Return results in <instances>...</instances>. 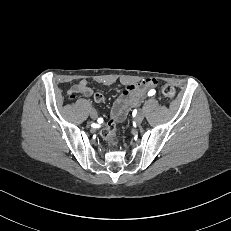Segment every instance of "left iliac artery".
I'll return each mask as SVG.
<instances>
[{
  "instance_id": "obj_1",
  "label": "left iliac artery",
  "mask_w": 231,
  "mask_h": 231,
  "mask_svg": "<svg viewBox=\"0 0 231 231\" xmlns=\"http://www.w3.org/2000/svg\"><path fill=\"white\" fill-rule=\"evenodd\" d=\"M155 93H156V91H155L154 89H151V90L148 92V96H153Z\"/></svg>"
}]
</instances>
